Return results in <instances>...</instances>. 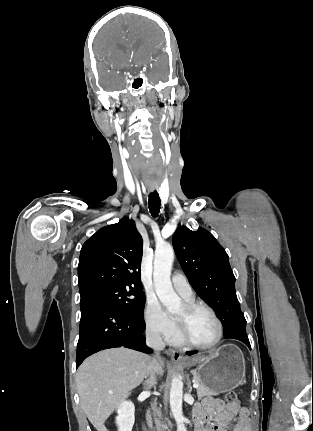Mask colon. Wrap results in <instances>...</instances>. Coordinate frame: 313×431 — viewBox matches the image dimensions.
<instances>
[{
    "mask_svg": "<svg viewBox=\"0 0 313 431\" xmlns=\"http://www.w3.org/2000/svg\"><path fill=\"white\" fill-rule=\"evenodd\" d=\"M225 399L228 404H236L238 403V395L235 391H229L225 394Z\"/></svg>",
    "mask_w": 313,
    "mask_h": 431,
    "instance_id": "colon-1",
    "label": "colon"
}]
</instances>
